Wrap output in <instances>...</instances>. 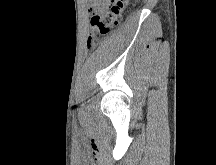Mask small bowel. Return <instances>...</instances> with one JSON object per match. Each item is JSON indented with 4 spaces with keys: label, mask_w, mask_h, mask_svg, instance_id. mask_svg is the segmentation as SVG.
Returning a JSON list of instances; mask_svg holds the SVG:
<instances>
[{
    "label": "small bowel",
    "mask_w": 216,
    "mask_h": 165,
    "mask_svg": "<svg viewBox=\"0 0 216 165\" xmlns=\"http://www.w3.org/2000/svg\"><path fill=\"white\" fill-rule=\"evenodd\" d=\"M91 2L95 8L101 10L106 6L108 0H91Z\"/></svg>",
    "instance_id": "1"
}]
</instances>
